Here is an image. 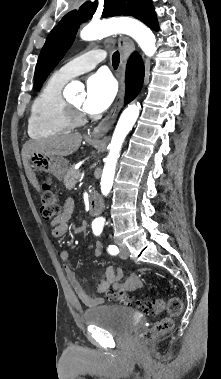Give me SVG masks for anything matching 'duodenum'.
<instances>
[{
	"label": "duodenum",
	"instance_id": "obj_1",
	"mask_svg": "<svg viewBox=\"0 0 221 379\" xmlns=\"http://www.w3.org/2000/svg\"><path fill=\"white\" fill-rule=\"evenodd\" d=\"M100 206V199L97 196H93L89 204V215L92 217L97 215L100 210Z\"/></svg>",
	"mask_w": 221,
	"mask_h": 379
}]
</instances>
